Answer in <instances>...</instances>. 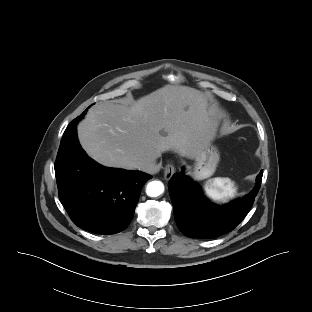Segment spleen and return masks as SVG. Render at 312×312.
<instances>
[{"mask_svg": "<svg viewBox=\"0 0 312 312\" xmlns=\"http://www.w3.org/2000/svg\"><path fill=\"white\" fill-rule=\"evenodd\" d=\"M208 197L213 200L225 202L235 196L237 188L229 178H214L208 180L204 185Z\"/></svg>", "mask_w": 312, "mask_h": 312, "instance_id": "obj_1", "label": "spleen"}]
</instances>
